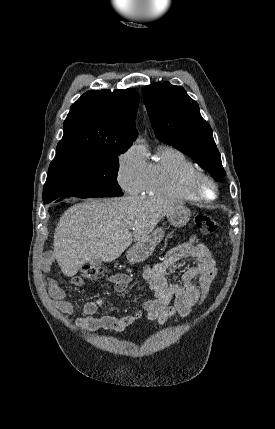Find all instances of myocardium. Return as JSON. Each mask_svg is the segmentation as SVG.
Returning <instances> with one entry per match:
<instances>
[{
  "label": "myocardium",
  "mask_w": 275,
  "mask_h": 429,
  "mask_svg": "<svg viewBox=\"0 0 275 429\" xmlns=\"http://www.w3.org/2000/svg\"><path fill=\"white\" fill-rule=\"evenodd\" d=\"M212 190V195L206 193L205 188ZM188 189L196 201L212 202L217 199L219 187L217 182L208 174L202 171H196L188 180Z\"/></svg>",
  "instance_id": "f54148a6"
}]
</instances>
